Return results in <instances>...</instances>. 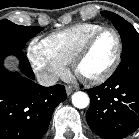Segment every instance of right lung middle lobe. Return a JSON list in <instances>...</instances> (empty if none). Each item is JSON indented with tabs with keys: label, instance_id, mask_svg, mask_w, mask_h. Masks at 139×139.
<instances>
[{
	"label": "right lung middle lobe",
	"instance_id": "dd1d6c3e",
	"mask_svg": "<svg viewBox=\"0 0 139 139\" xmlns=\"http://www.w3.org/2000/svg\"><path fill=\"white\" fill-rule=\"evenodd\" d=\"M37 26H20L9 20L0 21V46L12 45L23 49L26 42L42 31Z\"/></svg>",
	"mask_w": 139,
	"mask_h": 139
}]
</instances>
